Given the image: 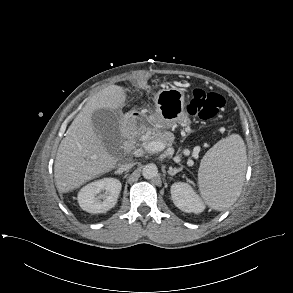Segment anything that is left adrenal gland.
I'll list each match as a JSON object with an SVG mask.
<instances>
[{"label": "left adrenal gland", "mask_w": 293, "mask_h": 293, "mask_svg": "<svg viewBox=\"0 0 293 293\" xmlns=\"http://www.w3.org/2000/svg\"><path fill=\"white\" fill-rule=\"evenodd\" d=\"M182 169H183L182 167H180V168H172V167H170L169 170H168V174L171 175V176H174L178 172H180Z\"/></svg>", "instance_id": "a2214340"}]
</instances>
